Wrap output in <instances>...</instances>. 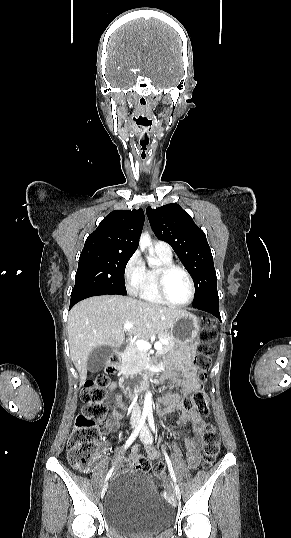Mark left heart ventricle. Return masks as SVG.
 <instances>
[{
    "label": "left heart ventricle",
    "mask_w": 291,
    "mask_h": 538,
    "mask_svg": "<svg viewBox=\"0 0 291 538\" xmlns=\"http://www.w3.org/2000/svg\"><path fill=\"white\" fill-rule=\"evenodd\" d=\"M168 297L177 303L187 300L190 292L189 282L181 271H173L166 278Z\"/></svg>",
    "instance_id": "left-heart-ventricle-1"
}]
</instances>
